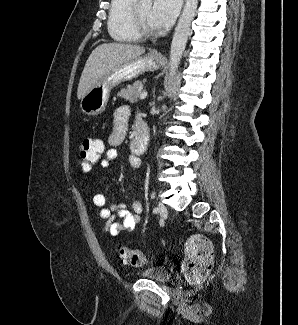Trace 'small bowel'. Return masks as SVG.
<instances>
[{"label":"small bowel","instance_id":"small-bowel-1","mask_svg":"<svg viewBox=\"0 0 298 325\" xmlns=\"http://www.w3.org/2000/svg\"><path fill=\"white\" fill-rule=\"evenodd\" d=\"M128 130V111L126 108H120L116 111L113 122V130L108 137V149L105 157L100 161L102 168L109 167L110 163L117 158V147L123 142ZM130 166L138 169L141 165L139 157L132 155L129 158ZM93 204L100 208L99 215L107 220L105 231L115 237L121 231H132L139 223L143 206L140 201L134 200L132 210L126 204H113L106 206V198L101 193L93 196ZM118 218V219H117Z\"/></svg>","mask_w":298,"mask_h":325}]
</instances>
